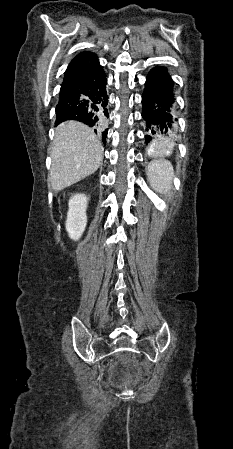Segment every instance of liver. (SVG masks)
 Instances as JSON below:
<instances>
[{
    "mask_svg": "<svg viewBox=\"0 0 233 449\" xmlns=\"http://www.w3.org/2000/svg\"><path fill=\"white\" fill-rule=\"evenodd\" d=\"M48 184L60 191L94 173L103 160V146L85 124L67 121L57 126L51 146Z\"/></svg>",
    "mask_w": 233,
    "mask_h": 449,
    "instance_id": "6515ba94",
    "label": "liver"
}]
</instances>
